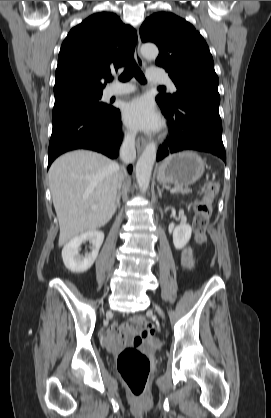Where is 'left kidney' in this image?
Returning a JSON list of instances; mask_svg holds the SVG:
<instances>
[{
    "mask_svg": "<svg viewBox=\"0 0 271 418\" xmlns=\"http://www.w3.org/2000/svg\"><path fill=\"white\" fill-rule=\"evenodd\" d=\"M192 229L186 222H181L173 231V243L176 249H182L191 238Z\"/></svg>",
    "mask_w": 271,
    "mask_h": 418,
    "instance_id": "left-kidney-1",
    "label": "left kidney"
}]
</instances>
